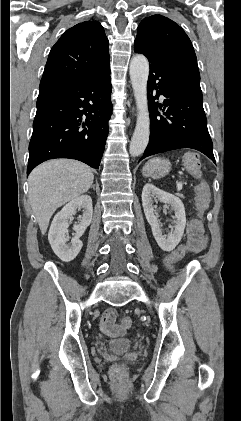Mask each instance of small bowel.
I'll list each match as a JSON object with an SVG mask.
<instances>
[{"mask_svg": "<svg viewBox=\"0 0 241 421\" xmlns=\"http://www.w3.org/2000/svg\"><path fill=\"white\" fill-rule=\"evenodd\" d=\"M187 250L189 252H200L206 246V235L197 220H192L187 227ZM100 329L109 336H123L127 333L129 326L116 323V310L107 309L100 319Z\"/></svg>", "mask_w": 241, "mask_h": 421, "instance_id": "1", "label": "small bowel"}]
</instances>
